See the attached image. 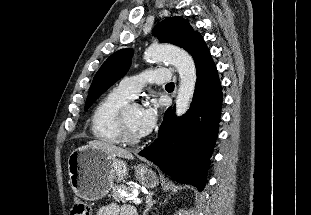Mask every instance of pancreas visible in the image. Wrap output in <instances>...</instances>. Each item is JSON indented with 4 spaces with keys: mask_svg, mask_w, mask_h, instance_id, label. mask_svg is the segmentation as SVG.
I'll list each match as a JSON object with an SVG mask.
<instances>
[{
    "mask_svg": "<svg viewBox=\"0 0 311 215\" xmlns=\"http://www.w3.org/2000/svg\"><path fill=\"white\" fill-rule=\"evenodd\" d=\"M134 191H139L138 187H132V186H125L120 185L113 189L111 196L116 202H127L129 200L130 194H132ZM124 192V194H122Z\"/></svg>",
    "mask_w": 311,
    "mask_h": 215,
    "instance_id": "1",
    "label": "pancreas"
}]
</instances>
